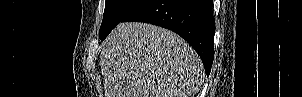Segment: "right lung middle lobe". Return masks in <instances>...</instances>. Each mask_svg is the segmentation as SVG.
Wrapping results in <instances>:
<instances>
[{"mask_svg":"<svg viewBox=\"0 0 302 97\" xmlns=\"http://www.w3.org/2000/svg\"><path fill=\"white\" fill-rule=\"evenodd\" d=\"M143 0H106L99 36L104 40L111 30Z\"/></svg>","mask_w":302,"mask_h":97,"instance_id":"1","label":"right lung middle lobe"}]
</instances>
